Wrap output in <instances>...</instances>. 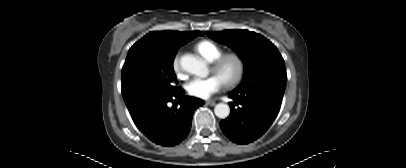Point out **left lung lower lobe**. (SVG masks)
I'll use <instances>...</instances> for the list:
<instances>
[{
  "instance_id": "0a47b994",
  "label": "left lung lower lobe",
  "mask_w": 406,
  "mask_h": 168,
  "mask_svg": "<svg viewBox=\"0 0 406 168\" xmlns=\"http://www.w3.org/2000/svg\"><path fill=\"white\" fill-rule=\"evenodd\" d=\"M284 91L251 89L230 93V116L220 122L223 133L237 144H248L261 137L275 120ZM235 105H239L235 108Z\"/></svg>"
}]
</instances>
